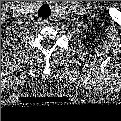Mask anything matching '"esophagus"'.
<instances>
[{
  "instance_id": "esophagus-1",
  "label": "esophagus",
  "mask_w": 121,
  "mask_h": 121,
  "mask_svg": "<svg viewBox=\"0 0 121 121\" xmlns=\"http://www.w3.org/2000/svg\"><path fill=\"white\" fill-rule=\"evenodd\" d=\"M44 22L48 23V20H44Z\"/></svg>"
}]
</instances>
